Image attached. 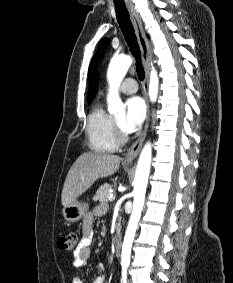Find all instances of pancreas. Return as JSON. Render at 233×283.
I'll return each mask as SVG.
<instances>
[{"label": "pancreas", "mask_w": 233, "mask_h": 283, "mask_svg": "<svg viewBox=\"0 0 233 283\" xmlns=\"http://www.w3.org/2000/svg\"><path fill=\"white\" fill-rule=\"evenodd\" d=\"M113 186L110 184H103L102 186H100V188L97 190L96 194H95V198L97 200H99L100 202H108V197L111 194L110 193V189Z\"/></svg>", "instance_id": "cf45deb5"}]
</instances>
